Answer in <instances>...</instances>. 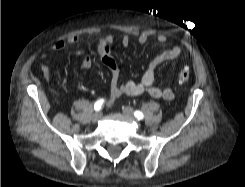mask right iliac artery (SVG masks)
<instances>
[{"instance_id":"82829eb1","label":"right iliac artery","mask_w":245,"mask_h":187,"mask_svg":"<svg viewBox=\"0 0 245 187\" xmlns=\"http://www.w3.org/2000/svg\"><path fill=\"white\" fill-rule=\"evenodd\" d=\"M103 103H104V100H103V99L98 100V101L94 104V109H95L96 111H99V110L102 108Z\"/></svg>"}]
</instances>
